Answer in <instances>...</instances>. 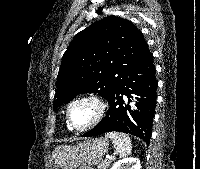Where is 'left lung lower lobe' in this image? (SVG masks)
<instances>
[{
  "mask_svg": "<svg viewBox=\"0 0 200 169\" xmlns=\"http://www.w3.org/2000/svg\"><path fill=\"white\" fill-rule=\"evenodd\" d=\"M153 57L148 50L137 64L129 69L121 83L107 97L110 108L106 117L82 137L97 136L106 132L119 131L140 137L147 144L151 138V128L156 104L157 80ZM131 94L139 96L137 110L127 115V108L122 95L131 102ZM125 105V107H124Z\"/></svg>",
  "mask_w": 200,
  "mask_h": 169,
  "instance_id": "1",
  "label": "left lung lower lobe"
}]
</instances>
